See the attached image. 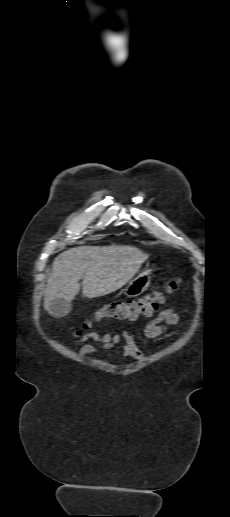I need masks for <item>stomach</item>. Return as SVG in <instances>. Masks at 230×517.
<instances>
[{"instance_id":"obj_1","label":"stomach","mask_w":230,"mask_h":517,"mask_svg":"<svg viewBox=\"0 0 230 517\" xmlns=\"http://www.w3.org/2000/svg\"><path fill=\"white\" fill-rule=\"evenodd\" d=\"M152 268L146 267L137 276L128 282L123 289V293L127 297H136L141 295L149 286L151 281Z\"/></svg>"}]
</instances>
